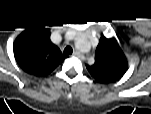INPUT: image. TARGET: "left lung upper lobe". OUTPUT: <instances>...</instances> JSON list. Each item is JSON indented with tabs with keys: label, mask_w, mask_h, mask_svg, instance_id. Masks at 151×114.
I'll use <instances>...</instances> for the list:
<instances>
[{
	"label": "left lung upper lobe",
	"mask_w": 151,
	"mask_h": 114,
	"mask_svg": "<svg viewBox=\"0 0 151 114\" xmlns=\"http://www.w3.org/2000/svg\"><path fill=\"white\" fill-rule=\"evenodd\" d=\"M127 59L113 39L102 37L96 48L95 63L87 65V69L95 81L113 83L119 80L127 71Z\"/></svg>",
	"instance_id": "obj_1"
}]
</instances>
